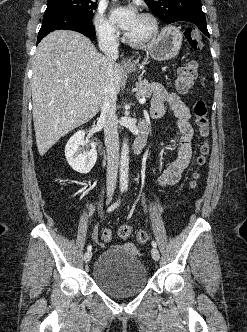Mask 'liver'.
Segmentation results:
<instances>
[{
    "label": "liver",
    "mask_w": 247,
    "mask_h": 332,
    "mask_svg": "<svg viewBox=\"0 0 247 332\" xmlns=\"http://www.w3.org/2000/svg\"><path fill=\"white\" fill-rule=\"evenodd\" d=\"M107 68V58L78 32L54 31L39 43L32 61L31 90L41 156L99 112L110 79L116 92L120 91L122 67L114 63L111 77Z\"/></svg>",
    "instance_id": "1"
}]
</instances>
